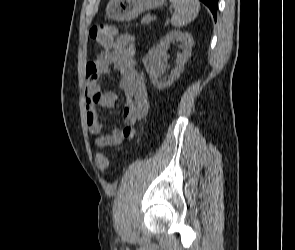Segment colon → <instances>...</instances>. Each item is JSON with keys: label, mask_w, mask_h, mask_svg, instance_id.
Wrapping results in <instances>:
<instances>
[{"label": "colon", "mask_w": 295, "mask_h": 250, "mask_svg": "<svg viewBox=\"0 0 295 250\" xmlns=\"http://www.w3.org/2000/svg\"><path fill=\"white\" fill-rule=\"evenodd\" d=\"M117 32L118 29L116 26L100 23L94 25L89 33L90 37L100 45L110 47L114 42ZM96 161L99 168L106 169L108 167V158L103 152L97 151Z\"/></svg>", "instance_id": "1"}]
</instances>
